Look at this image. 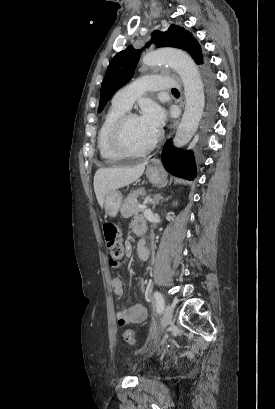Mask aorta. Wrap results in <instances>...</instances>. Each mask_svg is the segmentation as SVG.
I'll list each match as a JSON object with an SVG mask.
<instances>
[{
  "instance_id": "obj_1",
  "label": "aorta",
  "mask_w": 275,
  "mask_h": 409,
  "mask_svg": "<svg viewBox=\"0 0 275 409\" xmlns=\"http://www.w3.org/2000/svg\"><path fill=\"white\" fill-rule=\"evenodd\" d=\"M145 64H169L182 78L185 90V110L182 120L174 136L175 146H185L195 134L202 118L205 106L203 80L200 76L197 64L193 58L176 48H160L152 52L151 56H144Z\"/></svg>"
}]
</instances>
